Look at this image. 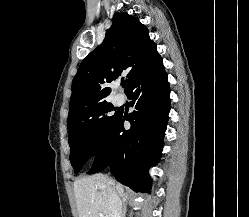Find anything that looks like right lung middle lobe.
Masks as SVG:
<instances>
[{
  "label": "right lung middle lobe",
  "mask_w": 249,
  "mask_h": 217,
  "mask_svg": "<svg viewBox=\"0 0 249 217\" xmlns=\"http://www.w3.org/2000/svg\"><path fill=\"white\" fill-rule=\"evenodd\" d=\"M114 110L106 101L68 118L70 161L75 173L102 148L120 115L112 113Z\"/></svg>",
  "instance_id": "dd1d6c3e"
}]
</instances>
